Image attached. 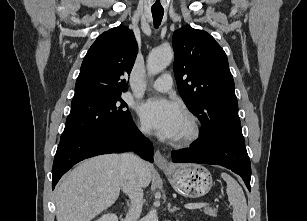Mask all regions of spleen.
<instances>
[{"mask_svg":"<svg viewBox=\"0 0 307 221\" xmlns=\"http://www.w3.org/2000/svg\"><path fill=\"white\" fill-rule=\"evenodd\" d=\"M221 177L227 184V195L230 204L233 206V220L246 221L247 203L244 192L237 181L227 173H221Z\"/></svg>","mask_w":307,"mask_h":221,"instance_id":"obj_1","label":"spleen"}]
</instances>
